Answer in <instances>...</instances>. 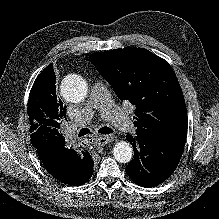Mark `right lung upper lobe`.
<instances>
[{"label":"right lung upper lobe","mask_w":219,"mask_h":219,"mask_svg":"<svg viewBox=\"0 0 219 219\" xmlns=\"http://www.w3.org/2000/svg\"><path fill=\"white\" fill-rule=\"evenodd\" d=\"M28 104H37L44 112H48L56 118V123L60 129V124L66 119V106H63L62 101L57 98L55 86V73L52 64L48 65L35 80L29 95ZM58 131L50 132L46 128H42L37 121L31 120L30 123V140L36 148L42 141H57L64 142V137ZM62 158V157H58ZM66 160H56L55 170L59 174L69 172Z\"/></svg>","instance_id":"cb5924a9"}]
</instances>
